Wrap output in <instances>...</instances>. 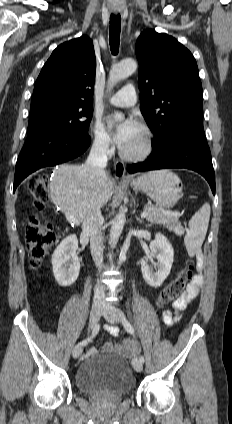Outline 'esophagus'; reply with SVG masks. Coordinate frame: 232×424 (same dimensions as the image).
Segmentation results:
<instances>
[{
    "label": "esophagus",
    "mask_w": 232,
    "mask_h": 424,
    "mask_svg": "<svg viewBox=\"0 0 232 424\" xmlns=\"http://www.w3.org/2000/svg\"><path fill=\"white\" fill-rule=\"evenodd\" d=\"M114 174L117 179H129L130 177L126 175V168L122 161H116L114 164Z\"/></svg>",
    "instance_id": "obj_1"
}]
</instances>
